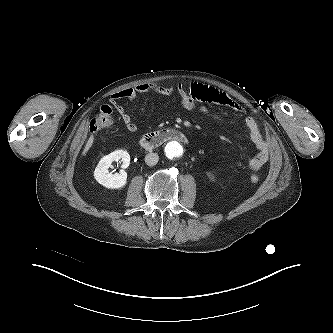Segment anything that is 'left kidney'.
<instances>
[{"mask_svg": "<svg viewBox=\"0 0 333 333\" xmlns=\"http://www.w3.org/2000/svg\"><path fill=\"white\" fill-rule=\"evenodd\" d=\"M211 180H214V177L213 176H209Z\"/></svg>", "mask_w": 333, "mask_h": 333, "instance_id": "left-kidney-1", "label": "left kidney"}]
</instances>
